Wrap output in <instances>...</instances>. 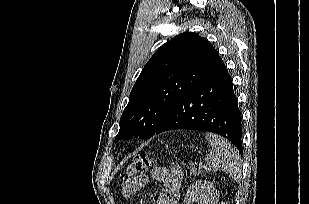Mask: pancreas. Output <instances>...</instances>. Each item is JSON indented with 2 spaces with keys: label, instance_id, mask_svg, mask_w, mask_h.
<instances>
[{
  "label": "pancreas",
  "instance_id": "obj_1",
  "mask_svg": "<svg viewBox=\"0 0 309 204\" xmlns=\"http://www.w3.org/2000/svg\"><path fill=\"white\" fill-rule=\"evenodd\" d=\"M190 173H192V174H194V175L196 176V175L201 174V170H199L198 173H197L196 168L191 167V168H190Z\"/></svg>",
  "mask_w": 309,
  "mask_h": 204
}]
</instances>
